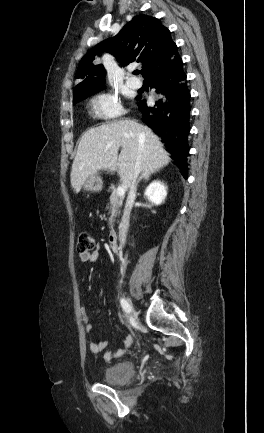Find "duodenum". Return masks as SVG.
<instances>
[{
	"label": "duodenum",
	"instance_id": "1",
	"mask_svg": "<svg viewBox=\"0 0 264 433\" xmlns=\"http://www.w3.org/2000/svg\"><path fill=\"white\" fill-rule=\"evenodd\" d=\"M108 244L112 250H118V248H119V232L117 230H111L109 232Z\"/></svg>",
	"mask_w": 264,
	"mask_h": 433
}]
</instances>
